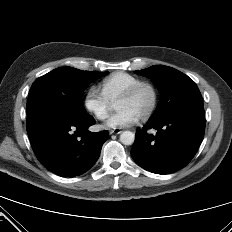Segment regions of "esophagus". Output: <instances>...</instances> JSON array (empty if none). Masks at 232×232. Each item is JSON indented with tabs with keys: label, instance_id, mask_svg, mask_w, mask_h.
Segmentation results:
<instances>
[{
	"label": "esophagus",
	"instance_id": "1",
	"mask_svg": "<svg viewBox=\"0 0 232 232\" xmlns=\"http://www.w3.org/2000/svg\"><path fill=\"white\" fill-rule=\"evenodd\" d=\"M122 132L121 129L117 128V129H111L109 131L110 134H120Z\"/></svg>",
	"mask_w": 232,
	"mask_h": 232
}]
</instances>
